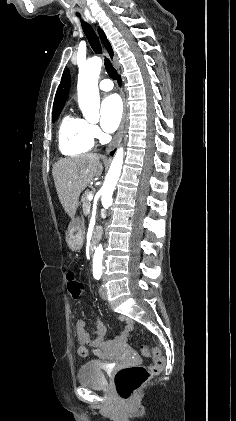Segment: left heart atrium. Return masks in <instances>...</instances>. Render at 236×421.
<instances>
[{
  "instance_id": "left-heart-atrium-1",
  "label": "left heart atrium",
  "mask_w": 236,
  "mask_h": 421,
  "mask_svg": "<svg viewBox=\"0 0 236 421\" xmlns=\"http://www.w3.org/2000/svg\"><path fill=\"white\" fill-rule=\"evenodd\" d=\"M122 117V105L117 95L106 96L101 104V127L107 132H113L119 125Z\"/></svg>"
}]
</instances>
